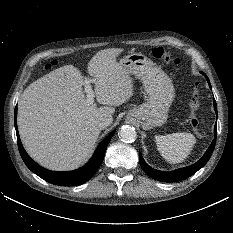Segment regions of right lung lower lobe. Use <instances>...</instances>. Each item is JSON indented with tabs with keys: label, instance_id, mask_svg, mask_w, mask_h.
<instances>
[{
	"label": "right lung lower lobe",
	"instance_id": "right-lung-lower-lobe-1",
	"mask_svg": "<svg viewBox=\"0 0 233 233\" xmlns=\"http://www.w3.org/2000/svg\"><path fill=\"white\" fill-rule=\"evenodd\" d=\"M16 115H17V107L15 109V116ZM15 128L17 133V143H18L20 155L24 163L27 165V167L45 181L60 186H75L87 182L100 167V164L102 163L105 155L107 145L115 133L114 130L111 134H109L106 137L104 141L100 143L94 155L86 164V166L71 172H55L42 168L29 157V155L24 150L22 143L20 141L16 121H15Z\"/></svg>",
	"mask_w": 233,
	"mask_h": 233
}]
</instances>
